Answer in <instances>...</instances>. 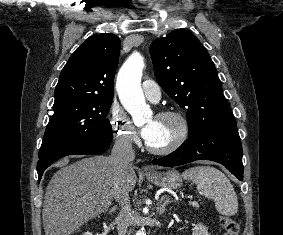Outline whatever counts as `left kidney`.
Wrapping results in <instances>:
<instances>
[{
    "label": "left kidney",
    "instance_id": "left-kidney-1",
    "mask_svg": "<svg viewBox=\"0 0 283 235\" xmlns=\"http://www.w3.org/2000/svg\"><path fill=\"white\" fill-rule=\"evenodd\" d=\"M193 235H210L207 228L203 224H196Z\"/></svg>",
    "mask_w": 283,
    "mask_h": 235
}]
</instances>
